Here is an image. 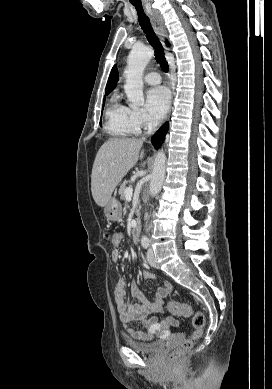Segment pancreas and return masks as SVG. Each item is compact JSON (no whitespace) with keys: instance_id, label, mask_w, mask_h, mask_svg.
<instances>
[{"instance_id":"1","label":"pancreas","mask_w":272,"mask_h":389,"mask_svg":"<svg viewBox=\"0 0 272 389\" xmlns=\"http://www.w3.org/2000/svg\"><path fill=\"white\" fill-rule=\"evenodd\" d=\"M127 184H131V181H124L123 184L120 186L119 194L121 196V199H125V189L127 188Z\"/></svg>"}]
</instances>
